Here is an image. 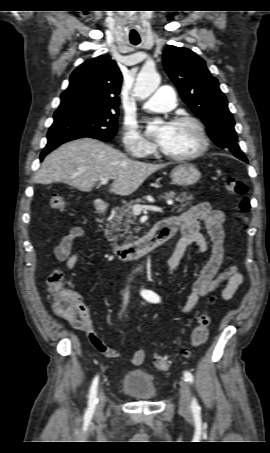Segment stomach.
I'll list each match as a JSON object with an SVG mask.
<instances>
[{"instance_id": "obj_1", "label": "stomach", "mask_w": 270, "mask_h": 453, "mask_svg": "<svg viewBox=\"0 0 270 453\" xmlns=\"http://www.w3.org/2000/svg\"><path fill=\"white\" fill-rule=\"evenodd\" d=\"M201 178V173L192 164H180L171 172L173 184L178 186H191L196 184Z\"/></svg>"}]
</instances>
